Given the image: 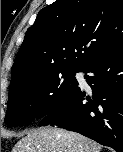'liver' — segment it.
Returning <instances> with one entry per match:
<instances>
[{
    "mask_svg": "<svg viewBox=\"0 0 123 152\" xmlns=\"http://www.w3.org/2000/svg\"><path fill=\"white\" fill-rule=\"evenodd\" d=\"M93 140L71 131L45 127L27 132L12 152H100Z\"/></svg>",
    "mask_w": 123,
    "mask_h": 152,
    "instance_id": "obj_1",
    "label": "liver"
}]
</instances>
